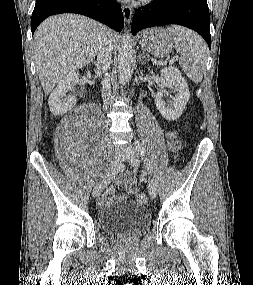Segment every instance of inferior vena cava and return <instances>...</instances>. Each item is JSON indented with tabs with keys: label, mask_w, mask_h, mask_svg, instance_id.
<instances>
[{
	"label": "inferior vena cava",
	"mask_w": 253,
	"mask_h": 285,
	"mask_svg": "<svg viewBox=\"0 0 253 285\" xmlns=\"http://www.w3.org/2000/svg\"><path fill=\"white\" fill-rule=\"evenodd\" d=\"M109 29L105 26H102V34L100 40V47L97 54V70L99 73H106L108 68L110 67V61L112 56L113 46L108 38L107 31ZM110 88L109 82L107 79L103 81L102 88V97L104 101H108L110 99Z\"/></svg>",
	"instance_id": "obj_1"
}]
</instances>
